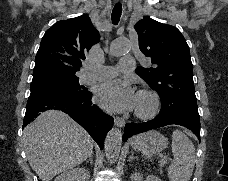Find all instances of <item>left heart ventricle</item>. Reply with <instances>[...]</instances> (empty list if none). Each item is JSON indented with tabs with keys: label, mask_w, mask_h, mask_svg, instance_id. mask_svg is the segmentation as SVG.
<instances>
[{
	"label": "left heart ventricle",
	"mask_w": 228,
	"mask_h": 181,
	"mask_svg": "<svg viewBox=\"0 0 228 181\" xmlns=\"http://www.w3.org/2000/svg\"><path fill=\"white\" fill-rule=\"evenodd\" d=\"M138 105L142 108V109H147L149 106V100L146 97H141L138 100Z\"/></svg>",
	"instance_id": "1"
}]
</instances>
